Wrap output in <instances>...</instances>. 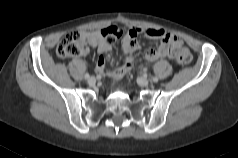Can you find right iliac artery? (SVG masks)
I'll return each mask as SVG.
<instances>
[{"label":"right iliac artery","instance_id":"82829eb1","mask_svg":"<svg viewBox=\"0 0 238 158\" xmlns=\"http://www.w3.org/2000/svg\"><path fill=\"white\" fill-rule=\"evenodd\" d=\"M84 77H85L86 79H88L90 76H89L88 73H86V74L84 75Z\"/></svg>","mask_w":238,"mask_h":158}]
</instances>
